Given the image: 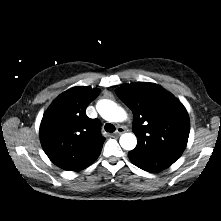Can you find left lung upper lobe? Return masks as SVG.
Wrapping results in <instances>:
<instances>
[{"instance_id": "obj_1", "label": "left lung upper lobe", "mask_w": 221, "mask_h": 221, "mask_svg": "<svg viewBox=\"0 0 221 221\" xmlns=\"http://www.w3.org/2000/svg\"><path fill=\"white\" fill-rule=\"evenodd\" d=\"M117 96L132 111L135 151L181 156L189 136V116L180 101L161 86L149 82L123 85Z\"/></svg>"}]
</instances>
